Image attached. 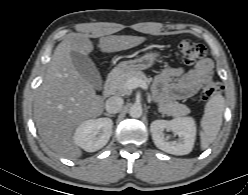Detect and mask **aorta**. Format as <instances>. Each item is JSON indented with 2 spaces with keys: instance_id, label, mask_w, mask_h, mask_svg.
<instances>
[{
  "instance_id": "aorta-1",
  "label": "aorta",
  "mask_w": 248,
  "mask_h": 195,
  "mask_svg": "<svg viewBox=\"0 0 248 195\" xmlns=\"http://www.w3.org/2000/svg\"><path fill=\"white\" fill-rule=\"evenodd\" d=\"M129 115L133 118H139L142 115L141 105L134 104L129 109Z\"/></svg>"
}]
</instances>
